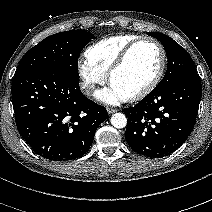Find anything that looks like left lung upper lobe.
<instances>
[{
  "label": "left lung upper lobe",
  "mask_w": 212,
  "mask_h": 212,
  "mask_svg": "<svg viewBox=\"0 0 212 212\" xmlns=\"http://www.w3.org/2000/svg\"><path fill=\"white\" fill-rule=\"evenodd\" d=\"M147 34L155 37L161 42L168 58L166 74L155 88H162L185 75L196 72L194 63L189 53L172 38L158 32H150Z\"/></svg>",
  "instance_id": "left-lung-upper-lobe-1"
}]
</instances>
